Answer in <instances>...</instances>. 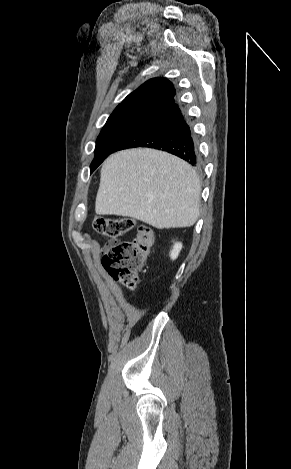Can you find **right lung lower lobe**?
Returning a JSON list of instances; mask_svg holds the SVG:
<instances>
[{
  "mask_svg": "<svg viewBox=\"0 0 291 469\" xmlns=\"http://www.w3.org/2000/svg\"><path fill=\"white\" fill-rule=\"evenodd\" d=\"M133 147H150L167 151L192 166H200L192 127L175 101L146 120L111 153Z\"/></svg>",
  "mask_w": 291,
  "mask_h": 469,
  "instance_id": "right-lung-lower-lobe-1",
  "label": "right lung lower lobe"
}]
</instances>
